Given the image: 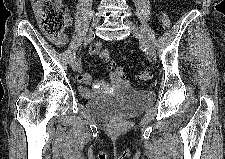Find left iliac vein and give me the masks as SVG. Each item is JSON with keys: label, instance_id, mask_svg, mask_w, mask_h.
I'll use <instances>...</instances> for the list:
<instances>
[{"label": "left iliac vein", "instance_id": "obj_1", "mask_svg": "<svg viewBox=\"0 0 225 159\" xmlns=\"http://www.w3.org/2000/svg\"><path fill=\"white\" fill-rule=\"evenodd\" d=\"M125 24L130 26L132 34L140 40V42L145 47L148 54L150 56H153L155 54L154 46L152 45V43L148 39L144 30L141 29L140 27H138L136 24H134L133 22H131L129 20H125Z\"/></svg>", "mask_w": 225, "mask_h": 159}]
</instances>
